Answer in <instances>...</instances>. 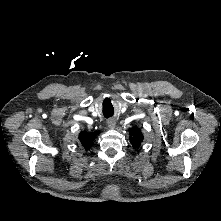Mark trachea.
Instances as JSON below:
<instances>
[{"mask_svg":"<svg viewBox=\"0 0 221 221\" xmlns=\"http://www.w3.org/2000/svg\"><path fill=\"white\" fill-rule=\"evenodd\" d=\"M111 116H112V113H111V114L105 113V117L109 118V117H111Z\"/></svg>","mask_w":221,"mask_h":221,"instance_id":"1","label":"trachea"}]
</instances>
